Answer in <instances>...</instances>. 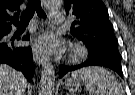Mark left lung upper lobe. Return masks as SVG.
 <instances>
[{
    "mask_svg": "<svg viewBox=\"0 0 135 95\" xmlns=\"http://www.w3.org/2000/svg\"><path fill=\"white\" fill-rule=\"evenodd\" d=\"M64 1L66 13L77 17L71 25V34L83 41L88 50L108 46L118 48L108 10L102 0Z\"/></svg>",
    "mask_w": 135,
    "mask_h": 95,
    "instance_id": "1",
    "label": "left lung upper lobe"
}]
</instances>
